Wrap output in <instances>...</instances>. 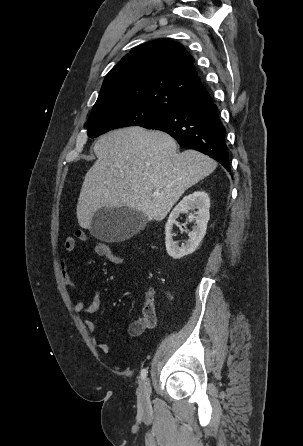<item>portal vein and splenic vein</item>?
<instances>
[{
  "instance_id": "18ae733b",
  "label": "portal vein and splenic vein",
  "mask_w": 303,
  "mask_h": 446,
  "mask_svg": "<svg viewBox=\"0 0 303 446\" xmlns=\"http://www.w3.org/2000/svg\"><path fill=\"white\" fill-rule=\"evenodd\" d=\"M153 194H154L155 196H160V195H161L158 191H154Z\"/></svg>"
}]
</instances>
